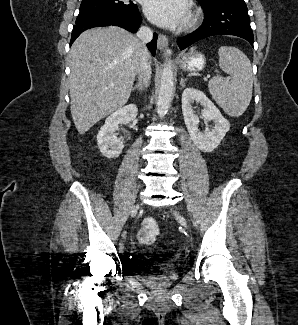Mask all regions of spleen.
Listing matches in <instances>:
<instances>
[{
    "instance_id": "3e777b00",
    "label": "spleen",
    "mask_w": 298,
    "mask_h": 325,
    "mask_svg": "<svg viewBox=\"0 0 298 325\" xmlns=\"http://www.w3.org/2000/svg\"><path fill=\"white\" fill-rule=\"evenodd\" d=\"M191 46L189 52H194ZM219 66L230 74L231 80L222 76H213L208 82L212 98L229 116H240L250 104L253 90V74L251 62L236 46H220L218 50Z\"/></svg>"
}]
</instances>
